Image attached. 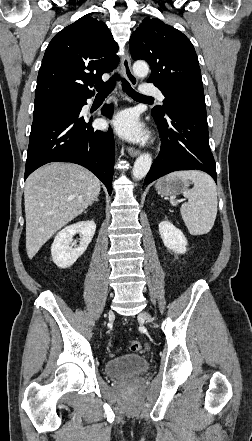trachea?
I'll return each instance as SVG.
<instances>
[{
    "label": "trachea",
    "mask_w": 252,
    "mask_h": 441,
    "mask_svg": "<svg viewBox=\"0 0 252 441\" xmlns=\"http://www.w3.org/2000/svg\"><path fill=\"white\" fill-rule=\"evenodd\" d=\"M117 80H121L122 81V87L124 89V91L131 97L134 99H141V100H153L152 97H148V96H144L142 94H139L138 92H136L131 85L123 78L120 77V75L116 74L115 76H113L111 79H109L107 82L100 84V85H96L95 88L98 92L97 96H103L106 97L108 96L113 89L115 88L116 85V81Z\"/></svg>",
    "instance_id": "3493384b"
}]
</instances>
